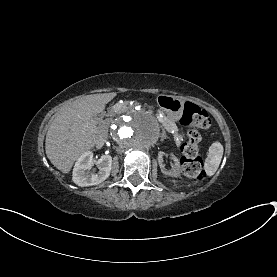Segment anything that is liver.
<instances>
[{"label":"liver","mask_w":277,"mask_h":277,"mask_svg":"<svg viewBox=\"0 0 277 277\" xmlns=\"http://www.w3.org/2000/svg\"><path fill=\"white\" fill-rule=\"evenodd\" d=\"M117 94L115 92L88 95L64 109L51 123L45 140L48 159L62 173H68L77 158L103 141L106 126L98 129L93 119L105 109V105Z\"/></svg>","instance_id":"liver-1"}]
</instances>
